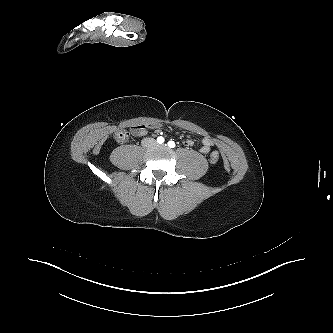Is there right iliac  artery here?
<instances>
[{"label": "right iliac artery", "mask_w": 333, "mask_h": 333, "mask_svg": "<svg viewBox=\"0 0 333 333\" xmlns=\"http://www.w3.org/2000/svg\"><path fill=\"white\" fill-rule=\"evenodd\" d=\"M164 141H165L164 138L161 137V136L157 138V142H158L159 144L164 143Z\"/></svg>", "instance_id": "obj_1"}]
</instances>
